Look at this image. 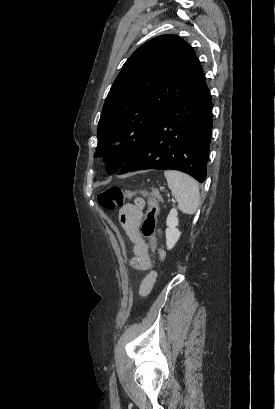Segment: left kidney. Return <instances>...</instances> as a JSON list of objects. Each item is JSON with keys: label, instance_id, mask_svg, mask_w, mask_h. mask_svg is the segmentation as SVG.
<instances>
[{"label": "left kidney", "instance_id": "obj_1", "mask_svg": "<svg viewBox=\"0 0 275 409\" xmlns=\"http://www.w3.org/2000/svg\"><path fill=\"white\" fill-rule=\"evenodd\" d=\"M178 223L179 221L177 217V211L176 209H171L166 221L168 229H166L165 231L168 251H170V249H173L175 243H177L181 235L180 231L176 229V227H178Z\"/></svg>", "mask_w": 275, "mask_h": 409}]
</instances>
